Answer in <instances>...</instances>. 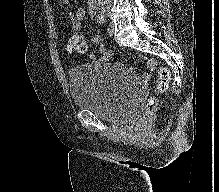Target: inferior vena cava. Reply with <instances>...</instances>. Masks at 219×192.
I'll return each mask as SVG.
<instances>
[{
  "label": "inferior vena cava",
  "instance_id": "obj_1",
  "mask_svg": "<svg viewBox=\"0 0 219 192\" xmlns=\"http://www.w3.org/2000/svg\"><path fill=\"white\" fill-rule=\"evenodd\" d=\"M102 2L104 5H108L112 0H98Z\"/></svg>",
  "mask_w": 219,
  "mask_h": 192
}]
</instances>
